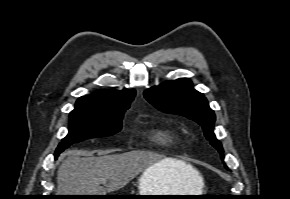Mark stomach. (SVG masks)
Listing matches in <instances>:
<instances>
[{"instance_id": "0dacf381", "label": "stomach", "mask_w": 290, "mask_h": 199, "mask_svg": "<svg viewBox=\"0 0 290 199\" xmlns=\"http://www.w3.org/2000/svg\"><path fill=\"white\" fill-rule=\"evenodd\" d=\"M158 165L151 166L142 172L139 177V195H198L203 186L201 175H196L193 183L195 184L194 193L191 194H176L172 189L175 184V177L172 174L165 173L161 170L155 175ZM154 199H191L192 197H143Z\"/></svg>"}]
</instances>
